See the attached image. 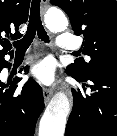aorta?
Here are the masks:
<instances>
[{
    "instance_id": "1",
    "label": "aorta",
    "mask_w": 117,
    "mask_h": 136,
    "mask_svg": "<svg viewBox=\"0 0 117 136\" xmlns=\"http://www.w3.org/2000/svg\"><path fill=\"white\" fill-rule=\"evenodd\" d=\"M45 22L50 30L56 32L64 31L68 26L67 18L58 9L49 10ZM70 110V102L64 94L54 96L40 120L38 136H63Z\"/></svg>"
}]
</instances>
